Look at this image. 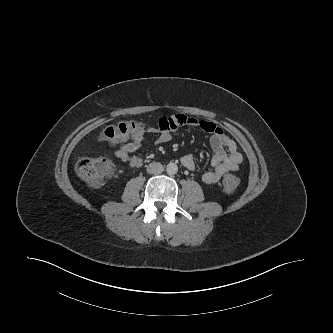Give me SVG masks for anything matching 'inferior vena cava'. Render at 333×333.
Segmentation results:
<instances>
[{"label": "inferior vena cava", "mask_w": 333, "mask_h": 333, "mask_svg": "<svg viewBox=\"0 0 333 333\" xmlns=\"http://www.w3.org/2000/svg\"><path fill=\"white\" fill-rule=\"evenodd\" d=\"M164 170V167L159 162H152L147 166V172L150 174H157Z\"/></svg>", "instance_id": "inferior-vena-cava-1"}]
</instances>
